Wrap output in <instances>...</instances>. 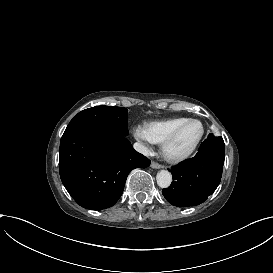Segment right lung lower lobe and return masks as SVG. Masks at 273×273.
I'll return each instance as SVG.
<instances>
[{"mask_svg":"<svg viewBox=\"0 0 273 273\" xmlns=\"http://www.w3.org/2000/svg\"><path fill=\"white\" fill-rule=\"evenodd\" d=\"M150 160L136 152L126 136L77 128L65 131L60 142L59 172L71 197L83 208L113 206L123 193L126 178Z\"/></svg>","mask_w":273,"mask_h":273,"instance_id":"obj_1","label":"right lung lower lobe"}]
</instances>
